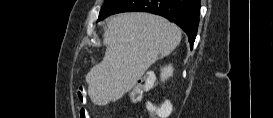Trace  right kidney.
<instances>
[{"mask_svg":"<svg viewBox=\"0 0 273 118\" xmlns=\"http://www.w3.org/2000/svg\"><path fill=\"white\" fill-rule=\"evenodd\" d=\"M173 75V68L171 65L165 66L161 69V80L165 81L167 78Z\"/></svg>","mask_w":273,"mask_h":118,"instance_id":"right-kidney-1","label":"right kidney"}]
</instances>
